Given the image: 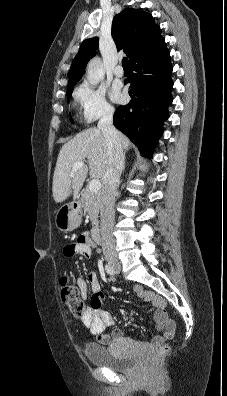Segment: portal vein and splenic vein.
<instances>
[{"label": "portal vein and splenic vein", "instance_id": "obj_1", "mask_svg": "<svg viewBox=\"0 0 227 396\" xmlns=\"http://www.w3.org/2000/svg\"><path fill=\"white\" fill-rule=\"evenodd\" d=\"M84 165V162H77L73 165L71 176L73 177V173L81 168ZM88 188L91 192H98L101 188L100 180L93 179L88 185Z\"/></svg>", "mask_w": 227, "mask_h": 396}]
</instances>
